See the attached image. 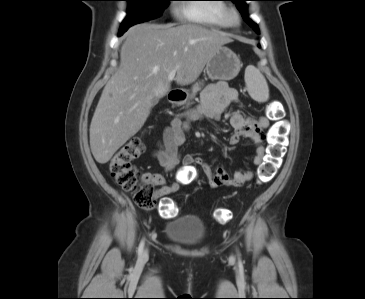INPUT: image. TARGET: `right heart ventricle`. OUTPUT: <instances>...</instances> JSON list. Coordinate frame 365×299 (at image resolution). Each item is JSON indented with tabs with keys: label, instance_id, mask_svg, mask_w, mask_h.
Segmentation results:
<instances>
[{
	"label": "right heart ventricle",
	"instance_id": "1",
	"mask_svg": "<svg viewBox=\"0 0 365 299\" xmlns=\"http://www.w3.org/2000/svg\"><path fill=\"white\" fill-rule=\"evenodd\" d=\"M199 3L183 5L180 17L190 23L212 28H225L224 12L227 5L224 0H190Z\"/></svg>",
	"mask_w": 365,
	"mask_h": 299
}]
</instances>
